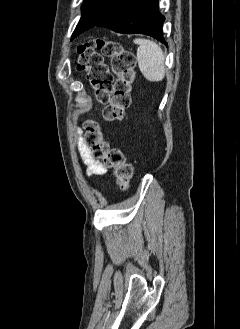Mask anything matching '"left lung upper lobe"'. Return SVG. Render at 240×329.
<instances>
[{"instance_id": "5c2ea615", "label": "left lung upper lobe", "mask_w": 240, "mask_h": 329, "mask_svg": "<svg viewBox=\"0 0 240 329\" xmlns=\"http://www.w3.org/2000/svg\"><path fill=\"white\" fill-rule=\"evenodd\" d=\"M121 0H84L82 16L77 24L72 39L90 29L105 17Z\"/></svg>"}]
</instances>
